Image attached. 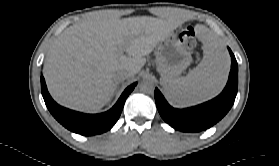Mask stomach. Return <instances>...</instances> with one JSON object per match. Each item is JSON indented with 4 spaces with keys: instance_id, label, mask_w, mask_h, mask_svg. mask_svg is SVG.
<instances>
[{
    "instance_id": "1",
    "label": "stomach",
    "mask_w": 279,
    "mask_h": 166,
    "mask_svg": "<svg viewBox=\"0 0 279 166\" xmlns=\"http://www.w3.org/2000/svg\"><path fill=\"white\" fill-rule=\"evenodd\" d=\"M190 52L173 33L160 41L156 53V67L161 79L177 78L191 63Z\"/></svg>"
}]
</instances>
